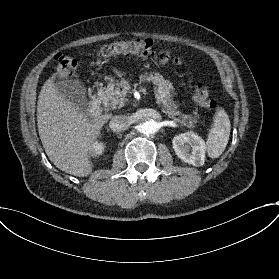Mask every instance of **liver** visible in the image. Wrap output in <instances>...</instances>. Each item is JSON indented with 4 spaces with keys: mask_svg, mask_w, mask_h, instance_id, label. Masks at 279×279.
Returning <instances> with one entry per match:
<instances>
[{
    "mask_svg": "<svg viewBox=\"0 0 279 279\" xmlns=\"http://www.w3.org/2000/svg\"><path fill=\"white\" fill-rule=\"evenodd\" d=\"M62 66L41 88L37 102V125L45 152L60 170L78 177L92 172L91 144L96 141L109 117L91 120L55 87L53 79L63 75Z\"/></svg>",
    "mask_w": 279,
    "mask_h": 279,
    "instance_id": "6515ba94",
    "label": "liver"
}]
</instances>
